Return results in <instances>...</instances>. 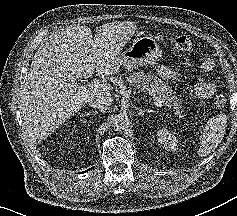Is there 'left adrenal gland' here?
Wrapping results in <instances>:
<instances>
[{"label": "left adrenal gland", "instance_id": "left-adrenal-gland-1", "mask_svg": "<svg viewBox=\"0 0 237 216\" xmlns=\"http://www.w3.org/2000/svg\"><path fill=\"white\" fill-rule=\"evenodd\" d=\"M138 110V115L141 116L145 113V110H142V109H139V108H136Z\"/></svg>", "mask_w": 237, "mask_h": 216}]
</instances>
